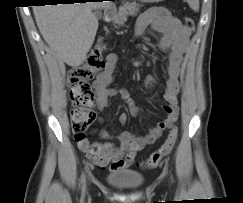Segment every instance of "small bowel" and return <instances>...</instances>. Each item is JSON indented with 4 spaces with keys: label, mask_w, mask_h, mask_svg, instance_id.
<instances>
[{
    "label": "small bowel",
    "mask_w": 243,
    "mask_h": 203,
    "mask_svg": "<svg viewBox=\"0 0 243 203\" xmlns=\"http://www.w3.org/2000/svg\"><path fill=\"white\" fill-rule=\"evenodd\" d=\"M149 26L163 34L159 48L169 54L166 64L167 81L164 90L166 104L162 106L166 117L156 126L149 128L142 136L134 135L126 130L121 131L118 135L119 146L110 141L90 143L86 140L83 143H78L79 149L99 168L109 166L111 171H115L128 167L134 162L137 152L154 142L178 118L179 76L189 49V33L180 20L163 7L149 8L139 17L135 26V36L137 38L143 36ZM117 60L116 54H109L104 70L98 74L94 81V88L98 95L97 107L101 111L109 108L110 99L119 95L127 104L132 115L142 116L143 109L135 104L125 89L109 87L113 80ZM145 82L147 85H152L155 82V77L147 75ZM127 120L128 116L125 113L119 115V121L122 125H125ZM102 137L111 138L107 133L102 134Z\"/></svg>",
    "instance_id": "obj_1"
}]
</instances>
